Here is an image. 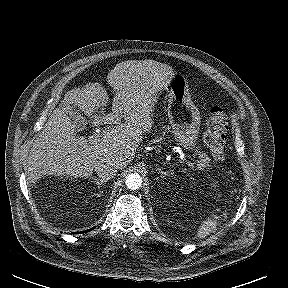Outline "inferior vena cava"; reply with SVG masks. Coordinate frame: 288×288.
I'll return each instance as SVG.
<instances>
[{
    "label": "inferior vena cava",
    "mask_w": 288,
    "mask_h": 288,
    "mask_svg": "<svg viewBox=\"0 0 288 288\" xmlns=\"http://www.w3.org/2000/svg\"><path fill=\"white\" fill-rule=\"evenodd\" d=\"M117 169V164L110 159L98 162L95 166L98 176L105 180L113 178L117 173Z\"/></svg>",
    "instance_id": "obj_1"
}]
</instances>
